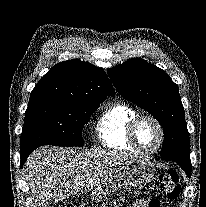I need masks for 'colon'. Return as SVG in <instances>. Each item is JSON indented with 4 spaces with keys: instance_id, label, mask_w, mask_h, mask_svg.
Instances as JSON below:
<instances>
[{
    "instance_id": "1",
    "label": "colon",
    "mask_w": 206,
    "mask_h": 207,
    "mask_svg": "<svg viewBox=\"0 0 206 207\" xmlns=\"http://www.w3.org/2000/svg\"><path fill=\"white\" fill-rule=\"evenodd\" d=\"M156 190L161 196L172 200L177 199L180 194V184L177 172L174 170L162 172L156 183ZM148 207H162L160 199H151L148 203Z\"/></svg>"
}]
</instances>
